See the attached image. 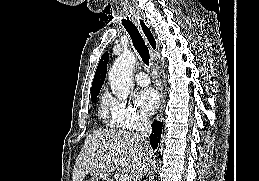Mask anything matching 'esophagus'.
Listing matches in <instances>:
<instances>
[{
	"label": "esophagus",
	"instance_id": "esophagus-1",
	"mask_svg": "<svg viewBox=\"0 0 259 181\" xmlns=\"http://www.w3.org/2000/svg\"><path fill=\"white\" fill-rule=\"evenodd\" d=\"M134 18L138 24V26L140 27V30L150 48V50L152 51V53L155 55L159 52V44L157 41V38L154 34V32L152 31V29L150 28V26L148 25V23L145 21V19L140 15V14H135ZM164 96H162V105L160 108V116L162 115L163 109H164Z\"/></svg>",
	"mask_w": 259,
	"mask_h": 181
}]
</instances>
